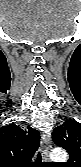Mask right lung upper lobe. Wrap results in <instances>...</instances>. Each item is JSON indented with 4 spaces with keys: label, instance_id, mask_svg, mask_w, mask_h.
Here are the masks:
<instances>
[{
    "label": "right lung upper lobe",
    "instance_id": "cb5924a9",
    "mask_svg": "<svg viewBox=\"0 0 81 167\" xmlns=\"http://www.w3.org/2000/svg\"><path fill=\"white\" fill-rule=\"evenodd\" d=\"M40 134L28 126L9 124L0 128V167H32Z\"/></svg>",
    "mask_w": 81,
    "mask_h": 167
}]
</instances>
